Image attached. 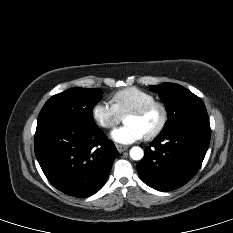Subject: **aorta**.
<instances>
[{
	"instance_id": "aorta-1",
	"label": "aorta",
	"mask_w": 233,
	"mask_h": 233,
	"mask_svg": "<svg viewBox=\"0 0 233 233\" xmlns=\"http://www.w3.org/2000/svg\"><path fill=\"white\" fill-rule=\"evenodd\" d=\"M130 157L133 160H141L144 156V151L142 148L138 147V146H134L130 149Z\"/></svg>"
}]
</instances>
